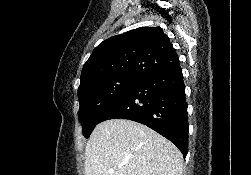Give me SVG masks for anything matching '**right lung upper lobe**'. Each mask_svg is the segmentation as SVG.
Segmentation results:
<instances>
[{
    "label": "right lung upper lobe",
    "instance_id": "cb5924a9",
    "mask_svg": "<svg viewBox=\"0 0 251 175\" xmlns=\"http://www.w3.org/2000/svg\"><path fill=\"white\" fill-rule=\"evenodd\" d=\"M178 64L162 28L141 27L101 42L83 66L79 88L120 76L142 79Z\"/></svg>",
    "mask_w": 251,
    "mask_h": 175
}]
</instances>
